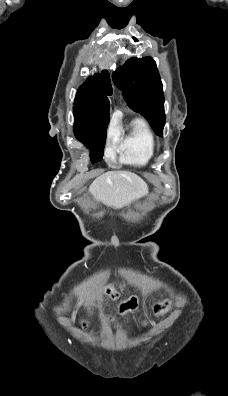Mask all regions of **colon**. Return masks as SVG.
Returning a JSON list of instances; mask_svg holds the SVG:
<instances>
[{
    "instance_id": "1",
    "label": "colon",
    "mask_w": 228,
    "mask_h": 396,
    "mask_svg": "<svg viewBox=\"0 0 228 396\" xmlns=\"http://www.w3.org/2000/svg\"><path fill=\"white\" fill-rule=\"evenodd\" d=\"M107 294L111 298L118 297V290L115 287H108ZM136 307V299L131 298L126 303H123L121 306L122 311L133 310ZM168 308V303H159L156 305V311L158 313H163Z\"/></svg>"
}]
</instances>
